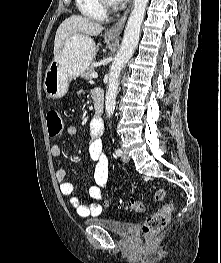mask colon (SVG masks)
<instances>
[{
    "mask_svg": "<svg viewBox=\"0 0 221 263\" xmlns=\"http://www.w3.org/2000/svg\"><path fill=\"white\" fill-rule=\"evenodd\" d=\"M46 119L49 136H58L63 129V120L60 111L56 108L49 109ZM164 196V189H158L155 193V198L157 200L163 199ZM119 204L135 213L145 212V205L140 200L131 199L129 201H120ZM173 210L174 205L172 203H167L161 209L148 216L142 226L143 234L146 237H153L163 231L169 223Z\"/></svg>",
    "mask_w": 221,
    "mask_h": 263,
    "instance_id": "colon-1",
    "label": "colon"
}]
</instances>
